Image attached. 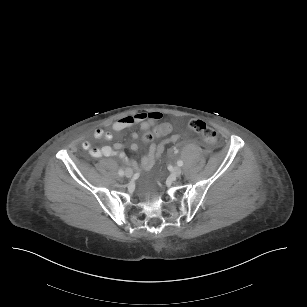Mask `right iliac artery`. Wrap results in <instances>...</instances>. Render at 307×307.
Here are the masks:
<instances>
[{"instance_id":"1","label":"right iliac artery","mask_w":307,"mask_h":307,"mask_svg":"<svg viewBox=\"0 0 307 307\" xmlns=\"http://www.w3.org/2000/svg\"><path fill=\"white\" fill-rule=\"evenodd\" d=\"M118 174H119L120 176H123L125 173H124V171H123L122 169H120V170L118 171Z\"/></svg>"}]
</instances>
